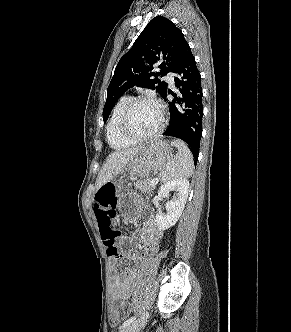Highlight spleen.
I'll return each instance as SVG.
<instances>
[{
	"mask_svg": "<svg viewBox=\"0 0 291 332\" xmlns=\"http://www.w3.org/2000/svg\"><path fill=\"white\" fill-rule=\"evenodd\" d=\"M171 145L175 146L178 152L161 171L159 177L163 182L189 178L194 171L193 155L185 142L176 139L171 142Z\"/></svg>",
	"mask_w": 291,
	"mask_h": 332,
	"instance_id": "obj_1",
	"label": "spleen"
}]
</instances>
